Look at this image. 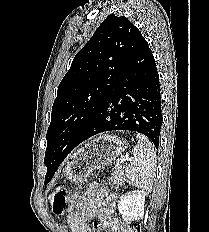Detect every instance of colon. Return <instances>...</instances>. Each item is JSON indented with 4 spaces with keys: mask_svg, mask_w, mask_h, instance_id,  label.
<instances>
[{
    "mask_svg": "<svg viewBox=\"0 0 209 232\" xmlns=\"http://www.w3.org/2000/svg\"><path fill=\"white\" fill-rule=\"evenodd\" d=\"M77 199L76 194H72L70 201L73 202ZM68 201L66 191L61 187H55L50 196V207L55 215H61L65 211V207ZM129 232H140L137 225L132 223V229Z\"/></svg>",
    "mask_w": 209,
    "mask_h": 232,
    "instance_id": "obj_1",
    "label": "colon"
}]
</instances>
